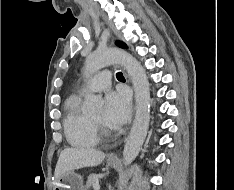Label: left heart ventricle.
Wrapping results in <instances>:
<instances>
[{
  "label": "left heart ventricle",
  "mask_w": 234,
  "mask_h": 190,
  "mask_svg": "<svg viewBox=\"0 0 234 190\" xmlns=\"http://www.w3.org/2000/svg\"><path fill=\"white\" fill-rule=\"evenodd\" d=\"M93 119L100 121V122H105L104 121V112L103 111H99L98 113H96L95 115L92 116Z\"/></svg>",
  "instance_id": "b2bd125f"
}]
</instances>
